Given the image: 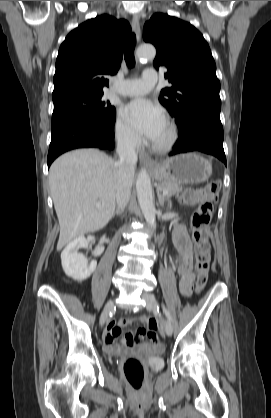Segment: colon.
I'll list each match as a JSON object with an SVG mask.
<instances>
[{"label":"colon","instance_id":"colon-1","mask_svg":"<svg viewBox=\"0 0 271 418\" xmlns=\"http://www.w3.org/2000/svg\"><path fill=\"white\" fill-rule=\"evenodd\" d=\"M220 188L219 182H211L201 189H188L181 195V202L185 205L197 204L193 214L191 229L196 251V290L201 291L208 279L210 268V245L206 235V229L213 215V202L217 199ZM148 326V337L153 342H158L156 335L157 323L154 319L143 318ZM125 376L135 390H139L144 382L145 372L141 361L129 358L124 363Z\"/></svg>","mask_w":271,"mask_h":418}]
</instances>
